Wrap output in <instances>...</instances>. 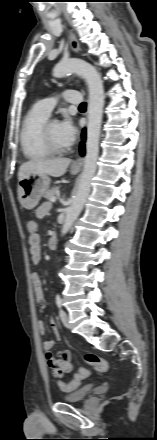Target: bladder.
I'll use <instances>...</instances> for the list:
<instances>
[{
  "label": "bladder",
  "mask_w": 157,
  "mask_h": 440,
  "mask_svg": "<svg viewBox=\"0 0 157 440\" xmlns=\"http://www.w3.org/2000/svg\"><path fill=\"white\" fill-rule=\"evenodd\" d=\"M92 386H84L70 393L64 394L62 399L66 403H80L85 401L92 393Z\"/></svg>",
  "instance_id": "bladder-1"
}]
</instances>
